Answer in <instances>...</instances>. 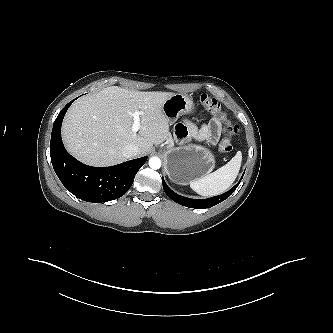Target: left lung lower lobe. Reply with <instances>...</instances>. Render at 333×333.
Listing matches in <instances>:
<instances>
[{"mask_svg":"<svg viewBox=\"0 0 333 333\" xmlns=\"http://www.w3.org/2000/svg\"><path fill=\"white\" fill-rule=\"evenodd\" d=\"M243 175H244V173H243ZM243 175H242L240 181L229 191H227L221 195L211 197L208 199H202V200L191 199V198L180 196L177 193H175L174 191H172L167 186L164 179L162 180V182H163V189H164L165 193L168 195L169 198H171L176 203L186 206V207H190V208L203 209V208L213 207V206L219 204L220 202L224 201L225 199H227L238 187V185L240 184V182L243 178Z\"/></svg>","mask_w":333,"mask_h":333,"instance_id":"obj_1","label":"left lung lower lobe"}]
</instances>
